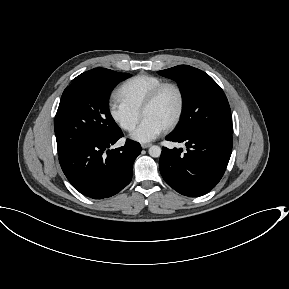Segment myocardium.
I'll return each mask as SVG.
<instances>
[{"label":"myocardium","mask_w":289,"mask_h":289,"mask_svg":"<svg viewBox=\"0 0 289 289\" xmlns=\"http://www.w3.org/2000/svg\"><path fill=\"white\" fill-rule=\"evenodd\" d=\"M167 88H173L178 95V108H177L176 114L174 115L173 119L165 127L166 130H171L175 128L180 122L184 113V108H185V95H184L182 88L177 83L163 82L160 85H158L156 88H154L145 99L141 107V114L143 116L144 112L157 101L161 93Z\"/></svg>","instance_id":"obj_1"}]
</instances>
